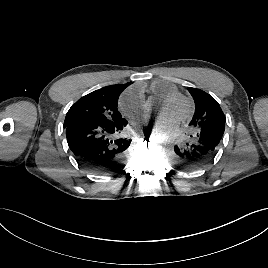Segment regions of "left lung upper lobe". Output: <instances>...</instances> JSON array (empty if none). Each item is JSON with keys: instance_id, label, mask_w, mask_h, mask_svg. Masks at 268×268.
I'll return each instance as SVG.
<instances>
[{"instance_id": "1", "label": "left lung upper lobe", "mask_w": 268, "mask_h": 268, "mask_svg": "<svg viewBox=\"0 0 268 268\" xmlns=\"http://www.w3.org/2000/svg\"><path fill=\"white\" fill-rule=\"evenodd\" d=\"M188 91L195 102V113L189 123L193 133L201 127L226 122V117L220 105L210 94L192 87H189Z\"/></svg>"}]
</instances>
